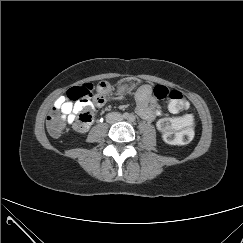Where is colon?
<instances>
[{"instance_id": "obj_1", "label": "colon", "mask_w": 243, "mask_h": 243, "mask_svg": "<svg viewBox=\"0 0 243 243\" xmlns=\"http://www.w3.org/2000/svg\"><path fill=\"white\" fill-rule=\"evenodd\" d=\"M96 94H107L111 86L107 81H100L96 87L92 83H84L72 87L67 92V97L73 101L86 102L95 98ZM153 94L157 99H169V109L172 113H182L179 117L161 119L158 124V130L161 132L164 140L170 144H187L194 136V119L188 112L189 104L183 95L177 90H169L165 86L157 85L154 87ZM92 121V112L83 111L75 122V128L82 130ZM48 132L53 137H58L65 126V121L56 112L48 115L46 120Z\"/></svg>"}]
</instances>
